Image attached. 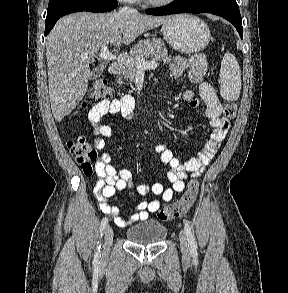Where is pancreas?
<instances>
[{
	"instance_id": "cf45deb5",
	"label": "pancreas",
	"mask_w": 288,
	"mask_h": 293,
	"mask_svg": "<svg viewBox=\"0 0 288 293\" xmlns=\"http://www.w3.org/2000/svg\"><path fill=\"white\" fill-rule=\"evenodd\" d=\"M152 58L154 61H163L164 64L170 63L171 59L168 57V51L165 47V44L160 39H146L140 40L135 44L129 55L125 56L119 63L120 72L118 73V83L122 82V76L124 79L129 80L130 82L134 81L137 66L136 58Z\"/></svg>"
}]
</instances>
